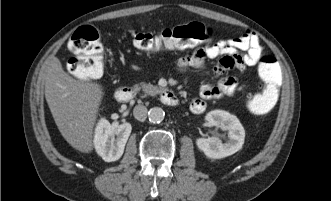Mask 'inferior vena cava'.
I'll return each instance as SVG.
<instances>
[{
	"instance_id": "1",
	"label": "inferior vena cava",
	"mask_w": 331,
	"mask_h": 201,
	"mask_svg": "<svg viewBox=\"0 0 331 201\" xmlns=\"http://www.w3.org/2000/svg\"><path fill=\"white\" fill-rule=\"evenodd\" d=\"M147 108L144 105H136L133 110L134 117L139 121H144L147 118Z\"/></svg>"
}]
</instances>
